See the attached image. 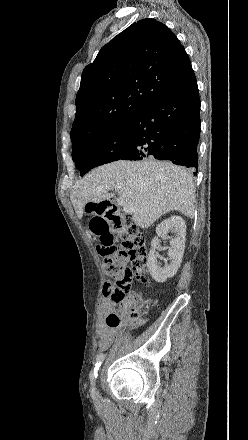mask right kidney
<instances>
[{"label":"right kidney","instance_id":"ca27d5eb","mask_svg":"<svg viewBox=\"0 0 248 440\" xmlns=\"http://www.w3.org/2000/svg\"><path fill=\"white\" fill-rule=\"evenodd\" d=\"M169 232L174 234L170 241L171 248L168 251L170 261L162 267L157 261L156 250L159 248V238H166ZM156 234L157 236L151 241L147 267L152 278L158 283H163L168 278H172L181 265L185 249V221L180 216H171L156 227Z\"/></svg>","mask_w":248,"mask_h":440}]
</instances>
